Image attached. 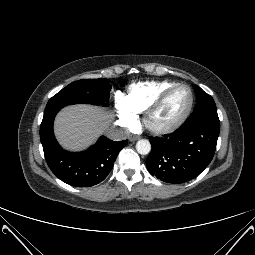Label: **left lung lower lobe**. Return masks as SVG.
Masks as SVG:
<instances>
[{"mask_svg":"<svg viewBox=\"0 0 255 255\" xmlns=\"http://www.w3.org/2000/svg\"><path fill=\"white\" fill-rule=\"evenodd\" d=\"M220 124L181 126L163 137H150L146 166L152 176L178 184L197 177L211 162Z\"/></svg>","mask_w":255,"mask_h":255,"instance_id":"obj_1","label":"left lung lower lobe"}]
</instances>
